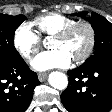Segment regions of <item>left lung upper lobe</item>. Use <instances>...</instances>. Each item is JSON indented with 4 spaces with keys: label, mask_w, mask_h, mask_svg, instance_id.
I'll return each instance as SVG.
<instances>
[{
    "label": "left lung upper lobe",
    "mask_w": 112,
    "mask_h": 112,
    "mask_svg": "<svg viewBox=\"0 0 112 112\" xmlns=\"http://www.w3.org/2000/svg\"><path fill=\"white\" fill-rule=\"evenodd\" d=\"M74 16L85 18L87 12L74 13ZM86 20L92 25L95 32L94 53L82 65H89L93 61L112 55V24L101 15L92 12Z\"/></svg>",
    "instance_id": "1"
}]
</instances>
